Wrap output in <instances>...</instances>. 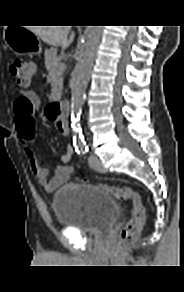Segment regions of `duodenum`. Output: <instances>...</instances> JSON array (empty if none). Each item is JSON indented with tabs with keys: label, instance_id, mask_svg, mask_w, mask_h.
<instances>
[{
	"label": "duodenum",
	"instance_id": "obj_1",
	"mask_svg": "<svg viewBox=\"0 0 184 292\" xmlns=\"http://www.w3.org/2000/svg\"><path fill=\"white\" fill-rule=\"evenodd\" d=\"M70 107L65 100H57L52 102L46 110V113L50 115L56 121H65L69 117Z\"/></svg>",
	"mask_w": 184,
	"mask_h": 292
}]
</instances>
